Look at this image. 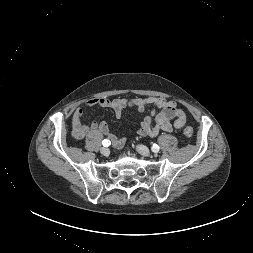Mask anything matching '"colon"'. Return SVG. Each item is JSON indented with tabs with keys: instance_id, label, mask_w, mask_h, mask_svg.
Segmentation results:
<instances>
[{
	"instance_id": "1",
	"label": "colon",
	"mask_w": 253,
	"mask_h": 253,
	"mask_svg": "<svg viewBox=\"0 0 253 253\" xmlns=\"http://www.w3.org/2000/svg\"><path fill=\"white\" fill-rule=\"evenodd\" d=\"M183 133L187 138H192L194 136V131L190 126L185 127Z\"/></svg>"
}]
</instances>
